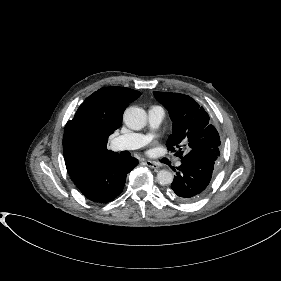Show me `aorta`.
I'll use <instances>...</instances> for the list:
<instances>
[{
    "label": "aorta",
    "instance_id": "aorta-1",
    "mask_svg": "<svg viewBox=\"0 0 281 281\" xmlns=\"http://www.w3.org/2000/svg\"><path fill=\"white\" fill-rule=\"evenodd\" d=\"M123 120L130 129L140 130L146 126L147 114L142 108L129 107L124 112ZM157 180L161 185H169L173 182V174L168 170H160Z\"/></svg>",
    "mask_w": 281,
    "mask_h": 281
}]
</instances>
